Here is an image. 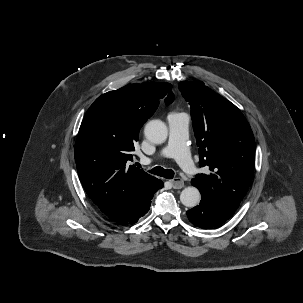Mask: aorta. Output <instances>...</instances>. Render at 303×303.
I'll return each mask as SVG.
<instances>
[{
  "mask_svg": "<svg viewBox=\"0 0 303 303\" xmlns=\"http://www.w3.org/2000/svg\"><path fill=\"white\" fill-rule=\"evenodd\" d=\"M145 137L153 144L165 142L168 136V129L161 120H151L144 128ZM201 194L196 187L189 186L182 190L180 201L186 207H195L199 204Z\"/></svg>",
  "mask_w": 303,
  "mask_h": 303,
  "instance_id": "obj_1",
  "label": "aorta"
}]
</instances>
